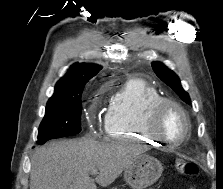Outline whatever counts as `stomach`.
I'll list each match as a JSON object with an SVG mask.
<instances>
[{
    "label": "stomach",
    "mask_w": 223,
    "mask_h": 189,
    "mask_svg": "<svg viewBox=\"0 0 223 189\" xmlns=\"http://www.w3.org/2000/svg\"><path fill=\"white\" fill-rule=\"evenodd\" d=\"M162 164L147 154L138 155L124 170V180L133 189H144L158 180Z\"/></svg>",
    "instance_id": "1"
}]
</instances>
